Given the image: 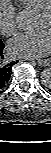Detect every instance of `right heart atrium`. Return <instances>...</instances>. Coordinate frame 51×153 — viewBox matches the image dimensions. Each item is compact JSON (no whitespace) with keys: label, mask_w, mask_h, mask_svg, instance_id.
Instances as JSON below:
<instances>
[{"label":"right heart atrium","mask_w":51,"mask_h":153,"mask_svg":"<svg viewBox=\"0 0 51 153\" xmlns=\"http://www.w3.org/2000/svg\"><path fill=\"white\" fill-rule=\"evenodd\" d=\"M18 30L16 11L9 0H0V33L11 36Z\"/></svg>","instance_id":"d8ad5b80"}]
</instances>
